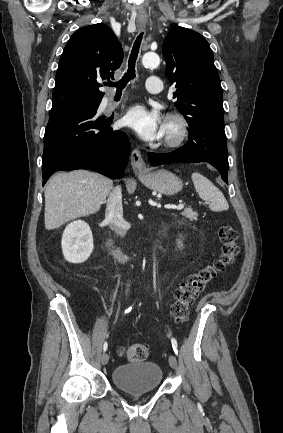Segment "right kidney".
<instances>
[{
  "instance_id": "right-kidney-1",
  "label": "right kidney",
  "mask_w": 283,
  "mask_h": 433,
  "mask_svg": "<svg viewBox=\"0 0 283 433\" xmlns=\"http://www.w3.org/2000/svg\"><path fill=\"white\" fill-rule=\"evenodd\" d=\"M61 246L63 256L68 262H85L94 248L89 225L82 220L68 224L63 232Z\"/></svg>"
}]
</instances>
